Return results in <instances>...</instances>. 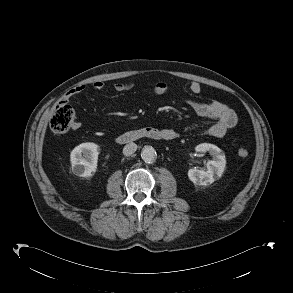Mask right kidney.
<instances>
[{
    "mask_svg": "<svg viewBox=\"0 0 293 293\" xmlns=\"http://www.w3.org/2000/svg\"><path fill=\"white\" fill-rule=\"evenodd\" d=\"M99 150V146L92 142L76 146L70 154L72 172L79 177H92L97 170Z\"/></svg>",
    "mask_w": 293,
    "mask_h": 293,
    "instance_id": "1",
    "label": "right kidney"
}]
</instances>
